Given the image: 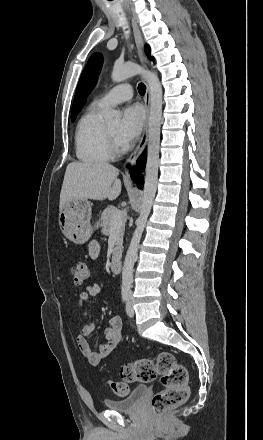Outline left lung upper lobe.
<instances>
[{"instance_id":"1","label":"left lung upper lobe","mask_w":263,"mask_h":440,"mask_svg":"<svg viewBox=\"0 0 263 440\" xmlns=\"http://www.w3.org/2000/svg\"><path fill=\"white\" fill-rule=\"evenodd\" d=\"M146 52L147 56L150 57V48L149 46H146ZM102 65V56L99 53H94L90 58L89 61L81 75V78L79 80L76 94L71 110V119L72 121L75 120L77 114L80 112L82 106L84 105L86 98L88 94L91 92L93 87L96 84L97 81V75L99 74V71L101 69Z\"/></svg>"}]
</instances>
